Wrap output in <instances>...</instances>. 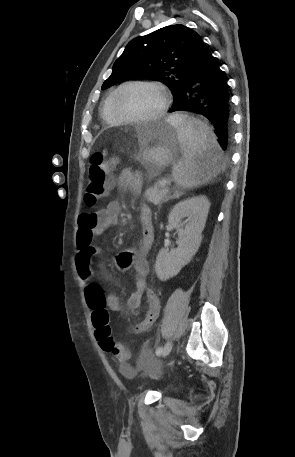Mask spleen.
I'll list each match as a JSON object with an SVG mask.
<instances>
[{
    "instance_id": "obj_1",
    "label": "spleen",
    "mask_w": 295,
    "mask_h": 457,
    "mask_svg": "<svg viewBox=\"0 0 295 457\" xmlns=\"http://www.w3.org/2000/svg\"><path fill=\"white\" fill-rule=\"evenodd\" d=\"M166 120L177 129L183 151L182 159L172 171L178 185L184 188L197 187L224 169L222 152L207 124L183 114L170 115Z\"/></svg>"
}]
</instances>
